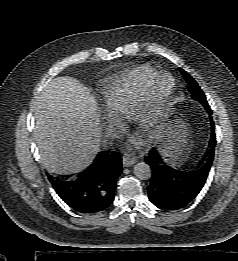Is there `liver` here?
<instances>
[{"label": "liver", "mask_w": 238, "mask_h": 261, "mask_svg": "<svg viewBox=\"0 0 238 261\" xmlns=\"http://www.w3.org/2000/svg\"><path fill=\"white\" fill-rule=\"evenodd\" d=\"M34 115V137L49 172L77 173L92 163L102 127L94 97L78 80L52 79L38 97Z\"/></svg>", "instance_id": "liver-1"}]
</instances>
